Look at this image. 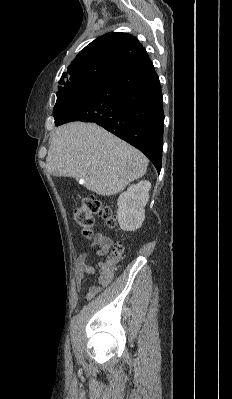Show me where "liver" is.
I'll return each instance as SVG.
<instances>
[{
	"label": "liver",
	"instance_id": "6515ba94",
	"mask_svg": "<svg viewBox=\"0 0 232 399\" xmlns=\"http://www.w3.org/2000/svg\"><path fill=\"white\" fill-rule=\"evenodd\" d=\"M149 160L96 124L72 122L55 130L46 166L52 176L83 180L100 196H114L146 174Z\"/></svg>",
	"mask_w": 232,
	"mask_h": 399
}]
</instances>
